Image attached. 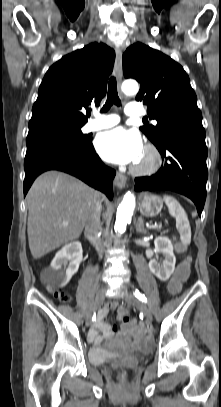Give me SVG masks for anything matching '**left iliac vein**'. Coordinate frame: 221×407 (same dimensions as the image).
Segmentation results:
<instances>
[{"label": "left iliac vein", "instance_id": "4c4485c4", "mask_svg": "<svg viewBox=\"0 0 221 407\" xmlns=\"http://www.w3.org/2000/svg\"><path fill=\"white\" fill-rule=\"evenodd\" d=\"M122 297L127 304L132 305L138 308L140 311H142L148 323L152 322L153 320L152 313L142 301H140L137 297L126 291L122 292Z\"/></svg>", "mask_w": 221, "mask_h": 407}]
</instances>
